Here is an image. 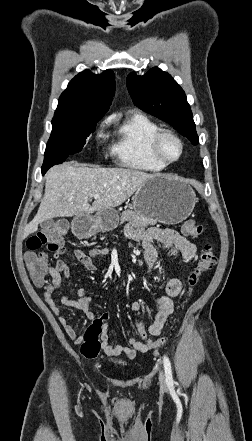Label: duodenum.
<instances>
[{
	"label": "duodenum",
	"instance_id": "duodenum-1",
	"mask_svg": "<svg viewBox=\"0 0 252 441\" xmlns=\"http://www.w3.org/2000/svg\"><path fill=\"white\" fill-rule=\"evenodd\" d=\"M91 230L92 223L89 219H78L74 223V231L79 238H87L90 235Z\"/></svg>",
	"mask_w": 252,
	"mask_h": 441
}]
</instances>
